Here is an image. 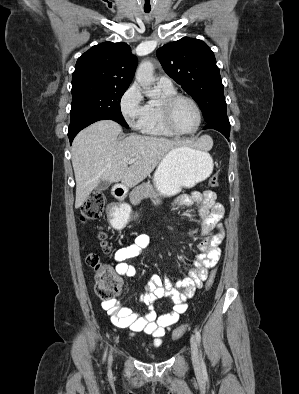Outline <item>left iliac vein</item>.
I'll return each mask as SVG.
<instances>
[{"label":"left iliac vein","mask_w":299,"mask_h":394,"mask_svg":"<svg viewBox=\"0 0 299 394\" xmlns=\"http://www.w3.org/2000/svg\"><path fill=\"white\" fill-rule=\"evenodd\" d=\"M190 349H191L192 362L194 366H198L200 364V359H199L197 341L194 336H191L190 339Z\"/></svg>","instance_id":"1"}]
</instances>
